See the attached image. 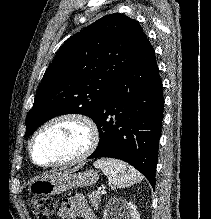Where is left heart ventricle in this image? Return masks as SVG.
Listing matches in <instances>:
<instances>
[{"label":"left heart ventricle","instance_id":"1","mask_svg":"<svg viewBox=\"0 0 211 219\" xmlns=\"http://www.w3.org/2000/svg\"><path fill=\"white\" fill-rule=\"evenodd\" d=\"M87 142L85 128L70 120L48 126L33 144V156L38 163L50 164L70 159L80 153Z\"/></svg>","mask_w":211,"mask_h":219}]
</instances>
